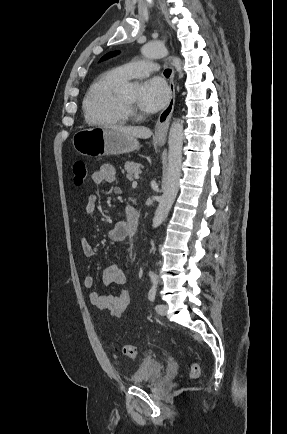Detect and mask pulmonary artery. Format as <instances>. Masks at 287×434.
I'll list each match as a JSON object with an SVG mask.
<instances>
[{"label": "pulmonary artery", "mask_w": 287, "mask_h": 434, "mask_svg": "<svg viewBox=\"0 0 287 434\" xmlns=\"http://www.w3.org/2000/svg\"><path fill=\"white\" fill-rule=\"evenodd\" d=\"M119 74L125 79L142 78L158 70V65L147 60H140L121 65L117 68Z\"/></svg>", "instance_id": "1"}]
</instances>
